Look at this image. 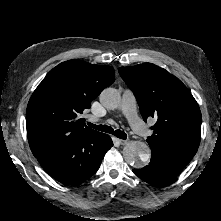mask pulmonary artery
I'll return each mask as SVG.
<instances>
[{
  "label": "pulmonary artery",
  "mask_w": 221,
  "mask_h": 221,
  "mask_svg": "<svg viewBox=\"0 0 221 221\" xmlns=\"http://www.w3.org/2000/svg\"><path fill=\"white\" fill-rule=\"evenodd\" d=\"M121 111L127 117V120L133 131L141 138H146L149 134V130L137 115L136 98L133 92L129 89H126L123 92ZM93 120L96 121L95 119Z\"/></svg>",
  "instance_id": "e3ab8cb5"
}]
</instances>
